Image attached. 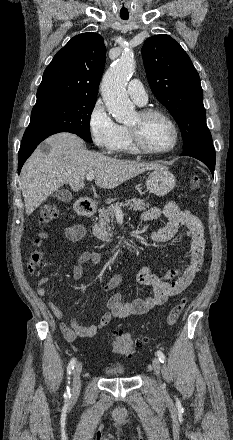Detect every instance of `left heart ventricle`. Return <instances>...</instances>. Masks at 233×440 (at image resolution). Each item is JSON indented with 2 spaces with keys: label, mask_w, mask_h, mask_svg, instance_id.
<instances>
[{
  "label": "left heart ventricle",
  "mask_w": 233,
  "mask_h": 440,
  "mask_svg": "<svg viewBox=\"0 0 233 440\" xmlns=\"http://www.w3.org/2000/svg\"><path fill=\"white\" fill-rule=\"evenodd\" d=\"M128 126L139 130L145 144L153 150L166 149L173 142V130L169 123L160 116L142 119L137 113Z\"/></svg>",
  "instance_id": "1"
}]
</instances>
